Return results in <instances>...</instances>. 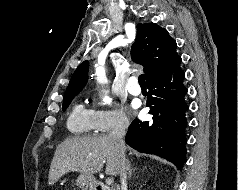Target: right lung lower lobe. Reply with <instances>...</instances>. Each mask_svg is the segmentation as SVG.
Returning a JSON list of instances; mask_svg holds the SVG:
<instances>
[{
    "label": "right lung lower lobe",
    "mask_w": 238,
    "mask_h": 190,
    "mask_svg": "<svg viewBox=\"0 0 238 190\" xmlns=\"http://www.w3.org/2000/svg\"><path fill=\"white\" fill-rule=\"evenodd\" d=\"M181 58L165 72L147 81L150 121L135 119L128 128L126 143L141 152L164 157L182 168L186 162L187 88L180 68Z\"/></svg>",
    "instance_id": "right-lung-lower-lobe-1"
}]
</instances>
